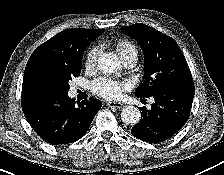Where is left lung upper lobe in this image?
Masks as SVG:
<instances>
[{
  "mask_svg": "<svg viewBox=\"0 0 224 175\" xmlns=\"http://www.w3.org/2000/svg\"><path fill=\"white\" fill-rule=\"evenodd\" d=\"M121 31L139 43L145 57V80L135 93L137 97L148 98L166 87L194 88L187 61L172 38L142 23Z\"/></svg>",
  "mask_w": 224,
  "mask_h": 175,
  "instance_id": "left-lung-upper-lobe-1",
  "label": "left lung upper lobe"
}]
</instances>
